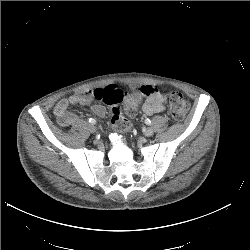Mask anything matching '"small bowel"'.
Segmentation results:
<instances>
[{"label":"small bowel","instance_id":"c3829d8e","mask_svg":"<svg viewBox=\"0 0 250 250\" xmlns=\"http://www.w3.org/2000/svg\"><path fill=\"white\" fill-rule=\"evenodd\" d=\"M140 90L145 96V101L142 105L144 114L152 115L165 110L166 96L160 90L151 85H144ZM93 97L91 91H86L59 100L54 108V114L59 125L67 127L74 124L77 121V116L71 113L69 109L74 106L87 107L90 105ZM92 112L96 116L102 117L105 115L106 109L103 105L95 104L92 106Z\"/></svg>","mask_w":250,"mask_h":250}]
</instances>
